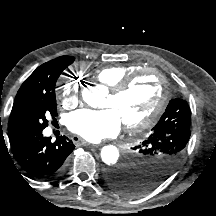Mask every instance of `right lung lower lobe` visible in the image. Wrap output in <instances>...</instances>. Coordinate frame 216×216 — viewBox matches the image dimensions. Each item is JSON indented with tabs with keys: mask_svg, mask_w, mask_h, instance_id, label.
Masks as SVG:
<instances>
[{
	"mask_svg": "<svg viewBox=\"0 0 216 216\" xmlns=\"http://www.w3.org/2000/svg\"><path fill=\"white\" fill-rule=\"evenodd\" d=\"M14 158L30 176L50 180L62 172L66 158L75 146L66 136L55 142L44 137L42 131L30 130L9 137Z\"/></svg>",
	"mask_w": 216,
	"mask_h": 216,
	"instance_id": "right-lung-lower-lobe-1",
	"label": "right lung lower lobe"
}]
</instances>
